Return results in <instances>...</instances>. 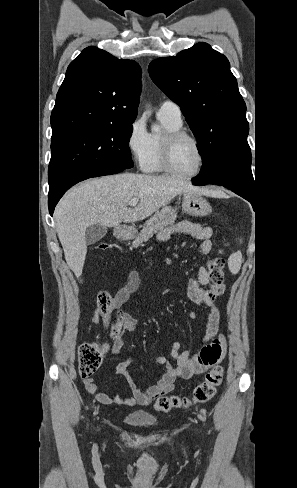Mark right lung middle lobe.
I'll return each mask as SVG.
<instances>
[{
	"label": "right lung middle lobe",
	"mask_w": 297,
	"mask_h": 488,
	"mask_svg": "<svg viewBox=\"0 0 297 488\" xmlns=\"http://www.w3.org/2000/svg\"><path fill=\"white\" fill-rule=\"evenodd\" d=\"M132 130V124H107L78 127L52 135L48 197L89 172L132 168L128 146Z\"/></svg>",
	"instance_id": "dd1d6c3e"
}]
</instances>
